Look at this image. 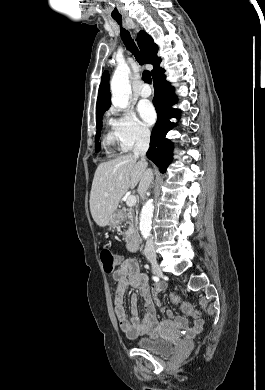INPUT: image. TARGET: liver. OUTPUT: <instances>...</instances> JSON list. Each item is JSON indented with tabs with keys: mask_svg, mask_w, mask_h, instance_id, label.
I'll return each mask as SVG.
<instances>
[{
	"mask_svg": "<svg viewBox=\"0 0 265 390\" xmlns=\"http://www.w3.org/2000/svg\"><path fill=\"white\" fill-rule=\"evenodd\" d=\"M127 154L98 165L90 193L91 215L100 227L109 224L123 195L141 181L147 164Z\"/></svg>",
	"mask_w": 265,
	"mask_h": 390,
	"instance_id": "liver-1",
	"label": "liver"
}]
</instances>
